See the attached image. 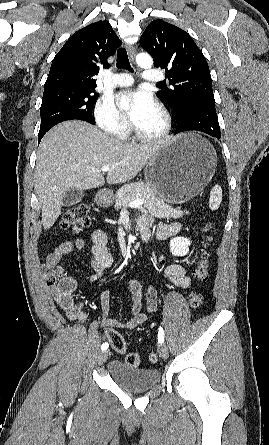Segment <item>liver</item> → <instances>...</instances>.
<instances>
[{
	"mask_svg": "<svg viewBox=\"0 0 269 445\" xmlns=\"http://www.w3.org/2000/svg\"><path fill=\"white\" fill-rule=\"evenodd\" d=\"M168 140L123 143L79 120L63 122L42 139L35 167V188L42 224L48 230L61 214L69 189L88 190L132 180ZM109 166L106 179L101 167Z\"/></svg>",
	"mask_w": 269,
	"mask_h": 445,
	"instance_id": "liver-1",
	"label": "liver"
}]
</instances>
